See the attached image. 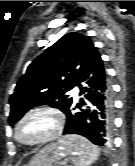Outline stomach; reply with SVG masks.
<instances>
[{"label":"stomach","instance_id":"1","mask_svg":"<svg viewBox=\"0 0 135 166\" xmlns=\"http://www.w3.org/2000/svg\"><path fill=\"white\" fill-rule=\"evenodd\" d=\"M71 153L70 148L60 141L50 143L35 154L26 166H57L62 160L65 166H73L68 158Z\"/></svg>","mask_w":135,"mask_h":166}]
</instances>
